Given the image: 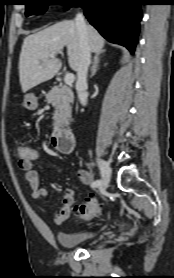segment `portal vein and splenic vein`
Returning a JSON list of instances; mask_svg holds the SVG:
<instances>
[{
	"mask_svg": "<svg viewBox=\"0 0 174 278\" xmlns=\"http://www.w3.org/2000/svg\"><path fill=\"white\" fill-rule=\"evenodd\" d=\"M55 56H56V53L50 54L51 58H54ZM74 79H75V76L73 73H67L65 75L64 82L66 85H71L74 82Z\"/></svg>",
	"mask_w": 174,
	"mask_h": 278,
	"instance_id": "portal-vein-and-splenic-vein-1",
	"label": "portal vein and splenic vein"
}]
</instances>
